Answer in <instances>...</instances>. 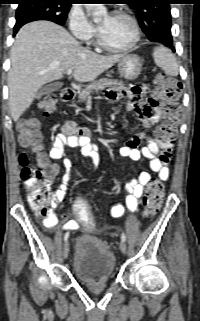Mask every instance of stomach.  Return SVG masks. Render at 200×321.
Here are the masks:
<instances>
[{"label": "stomach", "instance_id": "obj_1", "mask_svg": "<svg viewBox=\"0 0 200 321\" xmlns=\"http://www.w3.org/2000/svg\"><path fill=\"white\" fill-rule=\"evenodd\" d=\"M143 60L135 54H125L118 61V71L121 77L136 79L142 70Z\"/></svg>", "mask_w": 200, "mask_h": 321}]
</instances>
